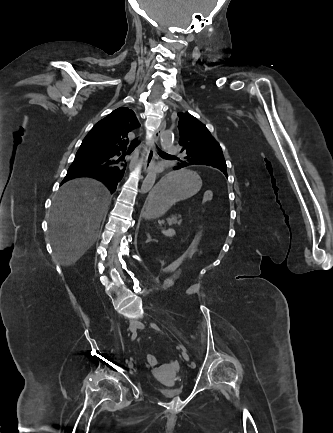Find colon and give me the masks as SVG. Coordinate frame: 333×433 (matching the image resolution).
<instances>
[{
	"label": "colon",
	"mask_w": 333,
	"mask_h": 433,
	"mask_svg": "<svg viewBox=\"0 0 333 433\" xmlns=\"http://www.w3.org/2000/svg\"><path fill=\"white\" fill-rule=\"evenodd\" d=\"M212 199H213V193L207 191L204 194L203 203H206ZM199 238L200 237H198V239ZM197 247L198 246L196 244H193L191 247L188 248V251H183L179 256H177L176 259L172 260L171 263H168L165 266V269L168 271V275H171V272L176 271L177 267L182 268L189 260H191L194 257L195 249ZM164 275H167V272H164ZM146 361L150 367L156 366L158 362L157 358L152 354L147 355Z\"/></svg>",
	"instance_id": "5ec220e1"
}]
</instances>
